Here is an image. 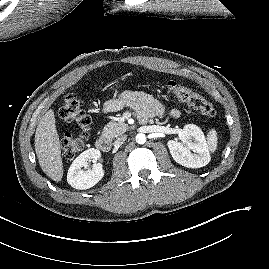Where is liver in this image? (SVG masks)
Instances as JSON below:
<instances>
[{"label":"liver","instance_id":"1","mask_svg":"<svg viewBox=\"0 0 269 269\" xmlns=\"http://www.w3.org/2000/svg\"><path fill=\"white\" fill-rule=\"evenodd\" d=\"M60 147L54 111L50 109L45 113L37 126L35 152L42 170L56 182L61 181L63 176Z\"/></svg>","mask_w":269,"mask_h":269}]
</instances>
